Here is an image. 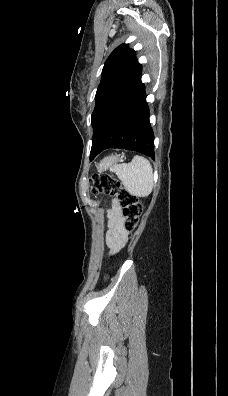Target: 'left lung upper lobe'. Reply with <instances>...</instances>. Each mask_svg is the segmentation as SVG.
<instances>
[{
  "instance_id": "5c2ea615",
  "label": "left lung upper lobe",
  "mask_w": 228,
  "mask_h": 396,
  "mask_svg": "<svg viewBox=\"0 0 228 396\" xmlns=\"http://www.w3.org/2000/svg\"><path fill=\"white\" fill-rule=\"evenodd\" d=\"M141 65L135 51L122 44L108 57L96 92V105L92 113L93 138L90 160L98 150L94 136L101 125L106 110L141 77Z\"/></svg>"
}]
</instances>
